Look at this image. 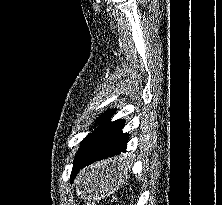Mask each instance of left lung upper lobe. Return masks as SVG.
Wrapping results in <instances>:
<instances>
[{"mask_svg": "<svg viewBox=\"0 0 222 205\" xmlns=\"http://www.w3.org/2000/svg\"><path fill=\"white\" fill-rule=\"evenodd\" d=\"M111 112L112 110H108L97 119V122L101 123L102 125H100L97 128L94 126L95 130L92 131L83 139V141L81 142V147L79 151L77 152L75 162H78L79 160L84 158L87 155V153L90 151V149L93 147L98 135L101 132L103 124L105 123V121L107 120Z\"/></svg>", "mask_w": 222, "mask_h": 205, "instance_id": "5c2ea615", "label": "left lung upper lobe"}]
</instances>
